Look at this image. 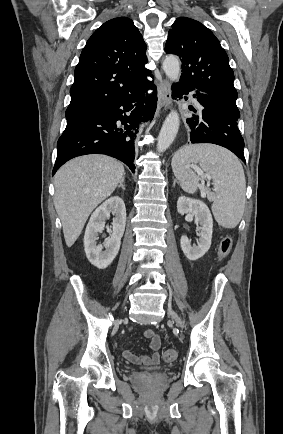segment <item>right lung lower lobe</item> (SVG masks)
<instances>
[{"label":"right lung lower lobe","instance_id":"1","mask_svg":"<svg viewBox=\"0 0 283 434\" xmlns=\"http://www.w3.org/2000/svg\"><path fill=\"white\" fill-rule=\"evenodd\" d=\"M147 76H152L151 72ZM148 89L154 90L150 99L144 94ZM156 94V86L145 77L126 96L67 119L66 129L58 140L52 174L68 160L86 154L112 156L124 162L134 173V140L138 125L153 118L157 106Z\"/></svg>","mask_w":283,"mask_h":434}]
</instances>
